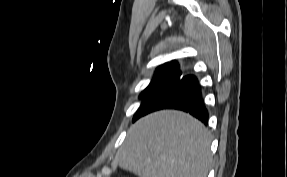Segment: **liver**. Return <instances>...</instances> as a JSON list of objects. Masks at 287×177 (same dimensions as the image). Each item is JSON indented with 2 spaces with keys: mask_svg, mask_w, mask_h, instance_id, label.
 Wrapping results in <instances>:
<instances>
[{
  "mask_svg": "<svg viewBox=\"0 0 287 177\" xmlns=\"http://www.w3.org/2000/svg\"><path fill=\"white\" fill-rule=\"evenodd\" d=\"M210 144V133L200 121L181 111L162 110L129 128L118 164L139 177H206Z\"/></svg>",
  "mask_w": 287,
  "mask_h": 177,
  "instance_id": "liver-1",
  "label": "liver"
}]
</instances>
